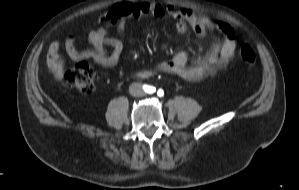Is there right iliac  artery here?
<instances>
[{"mask_svg":"<svg viewBox=\"0 0 299 190\" xmlns=\"http://www.w3.org/2000/svg\"><path fill=\"white\" fill-rule=\"evenodd\" d=\"M144 89H145V91L148 92V93H153V92L156 91L155 87H153V86H149V85H144Z\"/></svg>","mask_w":299,"mask_h":190,"instance_id":"right-iliac-artery-1","label":"right iliac artery"}]
</instances>
